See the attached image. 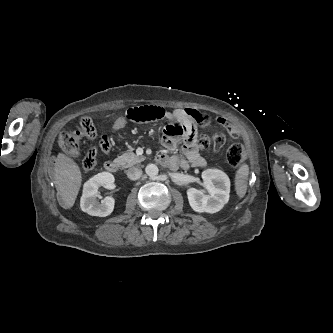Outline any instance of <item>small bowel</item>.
<instances>
[{
	"label": "small bowel",
	"instance_id": "1",
	"mask_svg": "<svg viewBox=\"0 0 333 333\" xmlns=\"http://www.w3.org/2000/svg\"><path fill=\"white\" fill-rule=\"evenodd\" d=\"M166 117L169 120L175 121V123L174 126L168 127L165 132L163 141L164 146L169 151H175L178 148L179 141L183 140L182 151L185 158L169 156L166 153H161L157 157V160L171 169H187L190 166L204 167L206 165V161L199 152L195 143V134L191 129H194V124L208 125L212 120L211 115L204 111L185 110L183 113L179 114L178 117H175L171 113H168ZM216 120L223 128H225L231 137L236 138L238 136L237 131L226 118H216ZM127 123L128 122L124 119L118 118L112 125V128L114 130H119ZM175 127H180L182 133L177 134L172 132L171 130Z\"/></svg>",
	"mask_w": 333,
	"mask_h": 333
}]
</instances>
